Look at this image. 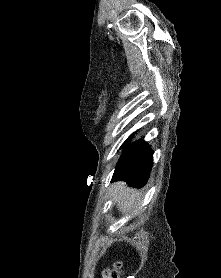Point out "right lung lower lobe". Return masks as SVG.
<instances>
[{
    "label": "right lung lower lobe",
    "instance_id": "right-lung-lower-lobe-1",
    "mask_svg": "<svg viewBox=\"0 0 221 278\" xmlns=\"http://www.w3.org/2000/svg\"><path fill=\"white\" fill-rule=\"evenodd\" d=\"M152 163L153 152L150 146L140 139L125 149L116 165L112 181L121 179L132 187L141 188L147 183Z\"/></svg>",
    "mask_w": 221,
    "mask_h": 278
}]
</instances>
